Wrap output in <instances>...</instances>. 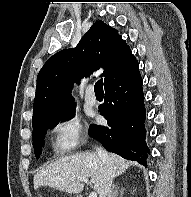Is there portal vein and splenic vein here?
<instances>
[{"mask_svg": "<svg viewBox=\"0 0 191 197\" xmlns=\"http://www.w3.org/2000/svg\"><path fill=\"white\" fill-rule=\"evenodd\" d=\"M80 181L89 184V181H88L87 178H82V179H80ZM89 197H97V193L96 192H91L89 194Z\"/></svg>", "mask_w": 191, "mask_h": 197, "instance_id": "obj_1", "label": "portal vein and splenic vein"}]
</instances>
